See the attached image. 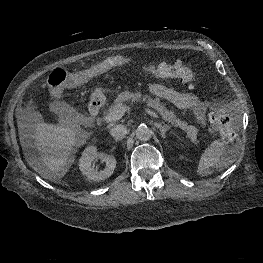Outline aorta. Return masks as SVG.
I'll list each match as a JSON object with an SVG mask.
<instances>
[{
  "instance_id": "762f6f07",
  "label": "aorta",
  "mask_w": 263,
  "mask_h": 263,
  "mask_svg": "<svg viewBox=\"0 0 263 263\" xmlns=\"http://www.w3.org/2000/svg\"><path fill=\"white\" fill-rule=\"evenodd\" d=\"M136 137L140 141H148L152 137V130L146 125H140L136 129Z\"/></svg>"
}]
</instances>
